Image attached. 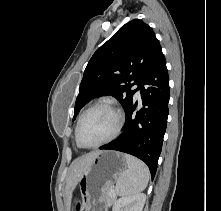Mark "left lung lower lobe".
<instances>
[{"instance_id":"obj_1","label":"left lung lower lobe","mask_w":221,"mask_h":211,"mask_svg":"<svg viewBox=\"0 0 221 211\" xmlns=\"http://www.w3.org/2000/svg\"><path fill=\"white\" fill-rule=\"evenodd\" d=\"M138 89L143 108L134 115L137 102H133L125 111L123 133L100 149L136 156L148 165L154 178L167 126L170 98L168 70L161 50L150 64Z\"/></svg>"}]
</instances>
